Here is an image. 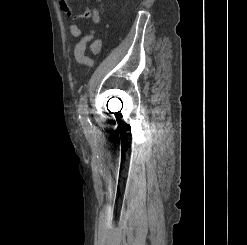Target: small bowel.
Wrapping results in <instances>:
<instances>
[{
    "instance_id": "obj_1",
    "label": "small bowel",
    "mask_w": 247,
    "mask_h": 245,
    "mask_svg": "<svg viewBox=\"0 0 247 245\" xmlns=\"http://www.w3.org/2000/svg\"><path fill=\"white\" fill-rule=\"evenodd\" d=\"M59 4L66 17L70 20H84V19L92 18L95 22L99 21V16L97 11L94 10L90 4H88L85 10L78 15L73 14L72 10L68 5L67 0H59ZM70 32L74 37H80L82 34V30L77 23H72L70 25ZM88 43H91V50L94 53H98L100 51L102 44L101 40L95 39V32L93 30H90L87 35L83 36L76 43L74 47V57L78 63L91 66L93 64V61L86 55V48Z\"/></svg>"
}]
</instances>
